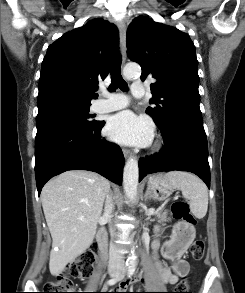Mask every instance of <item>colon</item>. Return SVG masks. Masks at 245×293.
Listing matches in <instances>:
<instances>
[{
    "mask_svg": "<svg viewBox=\"0 0 245 293\" xmlns=\"http://www.w3.org/2000/svg\"><path fill=\"white\" fill-rule=\"evenodd\" d=\"M172 214L176 220L185 222L189 225H193L196 221L194 216L190 213L188 204L183 200H177L173 202ZM173 244H175V241H173ZM190 252L193 259L197 261L202 260L205 254L204 240H195L190 248ZM95 260L96 257L94 253H85L79 255L66 270L59 273L53 280L45 284L43 293H78L74 292L75 287L73 286L70 278H88L91 275ZM175 293H191L187 290L186 281H182L178 285Z\"/></svg>",
    "mask_w": 245,
    "mask_h": 293,
    "instance_id": "5ec220e1",
    "label": "colon"
}]
</instances>
